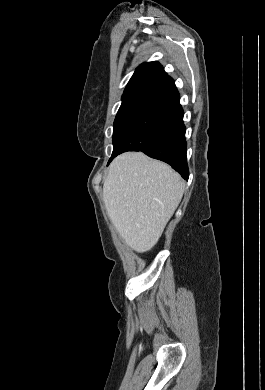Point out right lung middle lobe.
I'll return each mask as SVG.
<instances>
[{
	"label": "right lung middle lobe",
	"mask_w": 265,
	"mask_h": 390,
	"mask_svg": "<svg viewBox=\"0 0 265 390\" xmlns=\"http://www.w3.org/2000/svg\"><path fill=\"white\" fill-rule=\"evenodd\" d=\"M153 101L154 100L148 98H134L122 101L113 125V153L120 137L127 127Z\"/></svg>",
	"instance_id": "1"
}]
</instances>
